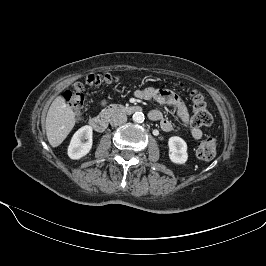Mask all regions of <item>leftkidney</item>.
<instances>
[{
  "label": "left kidney",
  "mask_w": 266,
  "mask_h": 266,
  "mask_svg": "<svg viewBox=\"0 0 266 266\" xmlns=\"http://www.w3.org/2000/svg\"><path fill=\"white\" fill-rule=\"evenodd\" d=\"M169 158L173 163L184 164L188 159L187 144L179 136H172L168 140Z\"/></svg>",
  "instance_id": "5707ae66"
}]
</instances>
